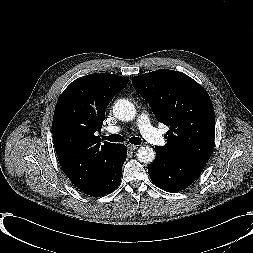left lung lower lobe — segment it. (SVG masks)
Returning <instances> with one entry per match:
<instances>
[{
    "mask_svg": "<svg viewBox=\"0 0 253 253\" xmlns=\"http://www.w3.org/2000/svg\"><path fill=\"white\" fill-rule=\"evenodd\" d=\"M207 161L191 157L172 156L156 150V159L149 165L151 180L167 192H179L191 185Z\"/></svg>",
    "mask_w": 253,
    "mask_h": 253,
    "instance_id": "left-lung-lower-lobe-1",
    "label": "left lung lower lobe"
}]
</instances>
